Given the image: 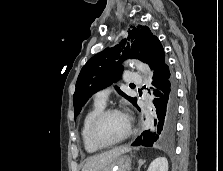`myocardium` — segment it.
I'll return each instance as SVG.
<instances>
[{
	"label": "myocardium",
	"instance_id": "1",
	"mask_svg": "<svg viewBox=\"0 0 223 171\" xmlns=\"http://www.w3.org/2000/svg\"><path fill=\"white\" fill-rule=\"evenodd\" d=\"M110 114H121L123 115L126 120H127V131L126 133L118 140L114 141V142H104L102 141L98 135H97V129L99 124L101 123V121L108 115ZM133 132V124H132V120L129 117L128 114H126L123 110L119 109V108H115V107H110V108H104L102 111H100L91 121V124L89 126V137L90 140L92 141V143L94 145H96L99 148H109L112 146H115L117 144L122 143L123 141H125L126 139H128L131 134Z\"/></svg>",
	"mask_w": 223,
	"mask_h": 171
}]
</instances>
